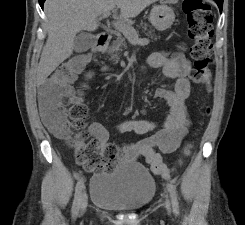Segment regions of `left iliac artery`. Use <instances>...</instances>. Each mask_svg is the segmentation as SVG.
Returning <instances> with one entry per match:
<instances>
[{
	"instance_id": "44dca946",
	"label": "left iliac artery",
	"mask_w": 245,
	"mask_h": 225,
	"mask_svg": "<svg viewBox=\"0 0 245 225\" xmlns=\"http://www.w3.org/2000/svg\"><path fill=\"white\" fill-rule=\"evenodd\" d=\"M167 187H168V191H169L170 196H171V201H172L174 212L176 214H178L179 213V202L177 199V194H176L175 188L171 184H168Z\"/></svg>"
}]
</instances>
